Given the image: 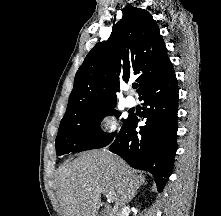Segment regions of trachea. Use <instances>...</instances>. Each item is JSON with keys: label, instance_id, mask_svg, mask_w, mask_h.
<instances>
[{"label": "trachea", "instance_id": "trachea-1", "mask_svg": "<svg viewBox=\"0 0 221 216\" xmlns=\"http://www.w3.org/2000/svg\"><path fill=\"white\" fill-rule=\"evenodd\" d=\"M134 89H137L138 88V84H133L132 86Z\"/></svg>", "mask_w": 221, "mask_h": 216}]
</instances>
